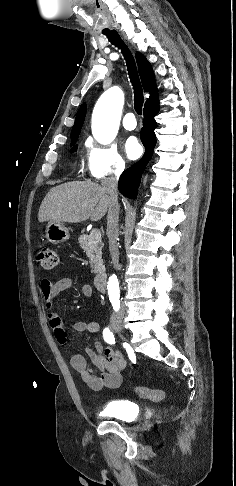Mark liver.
<instances>
[{"label":"liver","mask_w":236,"mask_h":486,"mask_svg":"<svg viewBox=\"0 0 236 486\" xmlns=\"http://www.w3.org/2000/svg\"><path fill=\"white\" fill-rule=\"evenodd\" d=\"M109 195L98 183L73 181L50 189L43 199L38 221L80 223L99 221L109 208Z\"/></svg>","instance_id":"1"}]
</instances>
